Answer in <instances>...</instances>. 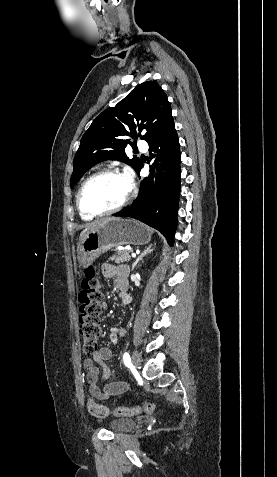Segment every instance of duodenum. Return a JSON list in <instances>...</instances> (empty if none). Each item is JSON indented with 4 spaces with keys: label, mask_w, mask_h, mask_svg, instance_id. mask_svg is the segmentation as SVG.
<instances>
[{
    "label": "duodenum",
    "mask_w": 277,
    "mask_h": 477,
    "mask_svg": "<svg viewBox=\"0 0 277 477\" xmlns=\"http://www.w3.org/2000/svg\"><path fill=\"white\" fill-rule=\"evenodd\" d=\"M123 302H124V303H129V302H130V298H129L128 296H125V297L123 298Z\"/></svg>",
    "instance_id": "1"
}]
</instances>
